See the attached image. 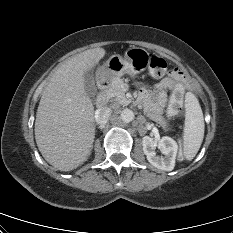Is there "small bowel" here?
Listing matches in <instances>:
<instances>
[{
	"instance_id": "small-bowel-1",
	"label": "small bowel",
	"mask_w": 233,
	"mask_h": 233,
	"mask_svg": "<svg viewBox=\"0 0 233 233\" xmlns=\"http://www.w3.org/2000/svg\"><path fill=\"white\" fill-rule=\"evenodd\" d=\"M185 83L186 77L183 71L173 69L154 86L152 95L146 90H142L141 98L148 115L155 120L161 121V114L167 102V91L174 89L178 84L183 85Z\"/></svg>"
}]
</instances>
